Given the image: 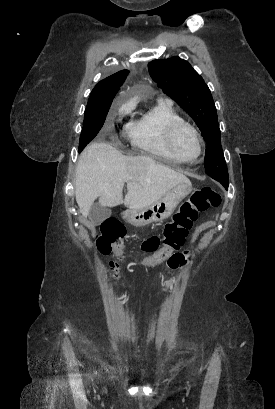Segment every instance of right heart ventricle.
I'll return each mask as SVG.
<instances>
[{
  "label": "right heart ventricle",
  "mask_w": 275,
  "mask_h": 409,
  "mask_svg": "<svg viewBox=\"0 0 275 409\" xmlns=\"http://www.w3.org/2000/svg\"><path fill=\"white\" fill-rule=\"evenodd\" d=\"M183 121L171 105L160 103L139 120L127 125L132 151L150 157H172L167 146L170 126Z\"/></svg>",
  "instance_id": "right-heart-ventricle-1"
}]
</instances>
